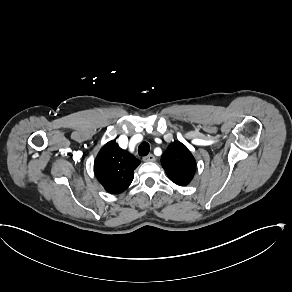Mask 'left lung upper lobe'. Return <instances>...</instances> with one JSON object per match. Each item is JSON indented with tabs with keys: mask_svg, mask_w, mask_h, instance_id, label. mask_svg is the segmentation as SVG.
Returning <instances> with one entry per match:
<instances>
[{
	"mask_svg": "<svg viewBox=\"0 0 292 292\" xmlns=\"http://www.w3.org/2000/svg\"><path fill=\"white\" fill-rule=\"evenodd\" d=\"M161 164L169 179L179 186L188 185L196 171V161L181 142L171 143L161 157Z\"/></svg>",
	"mask_w": 292,
	"mask_h": 292,
	"instance_id": "1",
	"label": "left lung upper lobe"
}]
</instances>
